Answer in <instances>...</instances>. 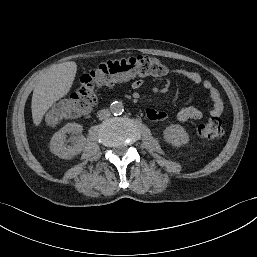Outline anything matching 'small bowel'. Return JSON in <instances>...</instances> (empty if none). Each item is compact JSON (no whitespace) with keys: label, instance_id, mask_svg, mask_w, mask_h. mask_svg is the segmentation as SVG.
I'll return each mask as SVG.
<instances>
[{"label":"small bowel","instance_id":"c3829d8e","mask_svg":"<svg viewBox=\"0 0 257 257\" xmlns=\"http://www.w3.org/2000/svg\"><path fill=\"white\" fill-rule=\"evenodd\" d=\"M169 74L176 75L182 77L189 82L201 85L209 94V98L212 103V108L210 114L212 116L218 117L223 113L224 104L221 98V95L218 89L214 86V84L204 79L198 72L187 70L183 68H175L169 71ZM141 86V81L137 80L133 82V87L138 88ZM146 116L149 120L160 122L167 119V114L163 111H159L156 109H147ZM204 116L203 112L194 107V106H186L181 108L177 113V119L182 122L190 121V120H199Z\"/></svg>","mask_w":257,"mask_h":257}]
</instances>
